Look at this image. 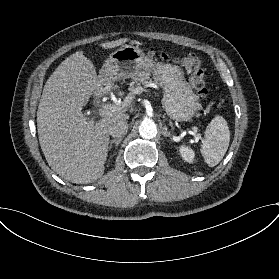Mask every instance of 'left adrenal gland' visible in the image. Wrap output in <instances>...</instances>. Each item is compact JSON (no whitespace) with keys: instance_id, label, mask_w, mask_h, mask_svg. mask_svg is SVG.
Masks as SVG:
<instances>
[{"instance_id":"obj_1","label":"left adrenal gland","mask_w":279,"mask_h":279,"mask_svg":"<svg viewBox=\"0 0 279 279\" xmlns=\"http://www.w3.org/2000/svg\"><path fill=\"white\" fill-rule=\"evenodd\" d=\"M162 135H163L164 137H171V139H172V135H171V133H170L169 131H167V127H163V129H162Z\"/></svg>"}]
</instances>
